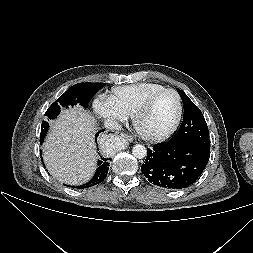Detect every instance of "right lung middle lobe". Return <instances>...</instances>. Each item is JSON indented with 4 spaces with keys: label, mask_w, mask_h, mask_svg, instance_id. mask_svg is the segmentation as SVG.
<instances>
[{
    "label": "right lung middle lobe",
    "mask_w": 253,
    "mask_h": 253,
    "mask_svg": "<svg viewBox=\"0 0 253 253\" xmlns=\"http://www.w3.org/2000/svg\"><path fill=\"white\" fill-rule=\"evenodd\" d=\"M104 85L105 83H78L73 85L47 109L45 113L47 121L55 119L63 107L73 106L77 103L86 107L93 95ZM47 121L43 120L41 125L40 140L42 142L49 128Z\"/></svg>",
    "instance_id": "obj_1"
}]
</instances>
